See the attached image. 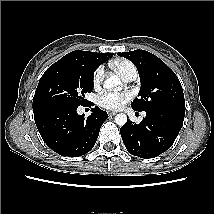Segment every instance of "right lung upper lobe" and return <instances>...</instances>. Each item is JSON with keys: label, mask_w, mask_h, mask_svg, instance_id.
Wrapping results in <instances>:
<instances>
[{"label": "right lung upper lobe", "mask_w": 214, "mask_h": 214, "mask_svg": "<svg viewBox=\"0 0 214 214\" xmlns=\"http://www.w3.org/2000/svg\"><path fill=\"white\" fill-rule=\"evenodd\" d=\"M114 53H96L76 50L62 57L58 62L81 63L93 69H97L102 63L112 57Z\"/></svg>", "instance_id": "right-lung-upper-lobe-1"}]
</instances>
